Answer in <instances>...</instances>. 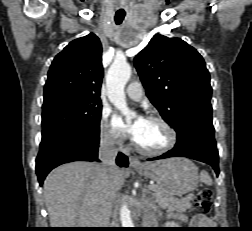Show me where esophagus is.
<instances>
[{"label":"esophagus","mask_w":252,"mask_h":231,"mask_svg":"<svg viewBox=\"0 0 252 231\" xmlns=\"http://www.w3.org/2000/svg\"><path fill=\"white\" fill-rule=\"evenodd\" d=\"M129 163L131 167H141L143 164L140 162V160L136 157H130L129 158Z\"/></svg>","instance_id":"34e87169"}]
</instances>
